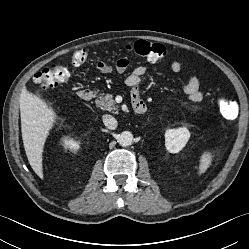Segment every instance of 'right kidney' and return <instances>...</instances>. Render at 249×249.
<instances>
[{
	"label": "right kidney",
	"instance_id": "right-kidney-1",
	"mask_svg": "<svg viewBox=\"0 0 249 249\" xmlns=\"http://www.w3.org/2000/svg\"><path fill=\"white\" fill-rule=\"evenodd\" d=\"M63 146L65 149H69L71 151H77L80 148V143L73 139H64Z\"/></svg>",
	"mask_w": 249,
	"mask_h": 249
}]
</instances>
